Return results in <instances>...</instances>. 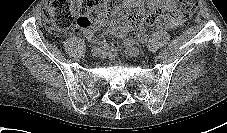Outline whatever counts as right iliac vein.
I'll list each match as a JSON object with an SVG mask.
<instances>
[{"label":"right iliac vein","instance_id":"right-iliac-vein-1","mask_svg":"<svg viewBox=\"0 0 227 133\" xmlns=\"http://www.w3.org/2000/svg\"><path fill=\"white\" fill-rule=\"evenodd\" d=\"M102 52H103V49L98 48V47H94L91 50V53H92L93 56H99Z\"/></svg>","mask_w":227,"mask_h":133}]
</instances>
